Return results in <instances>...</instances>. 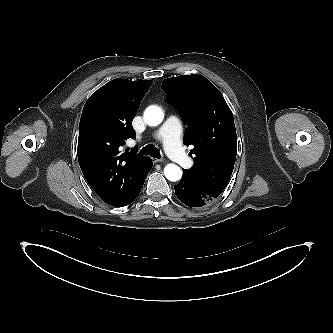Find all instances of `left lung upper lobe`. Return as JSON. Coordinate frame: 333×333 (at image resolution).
I'll use <instances>...</instances> for the list:
<instances>
[{
  "label": "left lung upper lobe",
  "instance_id": "1",
  "mask_svg": "<svg viewBox=\"0 0 333 333\" xmlns=\"http://www.w3.org/2000/svg\"><path fill=\"white\" fill-rule=\"evenodd\" d=\"M167 102L188 125L186 145H193L194 165L183 169L190 181L217 197L226 187L237 155L233 114L221 92L203 76L181 75L163 81Z\"/></svg>",
  "mask_w": 333,
  "mask_h": 333
}]
</instances>
